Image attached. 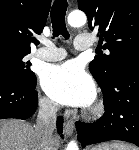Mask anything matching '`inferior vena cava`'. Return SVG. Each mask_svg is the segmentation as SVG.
<instances>
[{
  "instance_id": "602c4592",
  "label": "inferior vena cava",
  "mask_w": 139,
  "mask_h": 150,
  "mask_svg": "<svg viewBox=\"0 0 139 150\" xmlns=\"http://www.w3.org/2000/svg\"><path fill=\"white\" fill-rule=\"evenodd\" d=\"M58 105L49 100H41L38 111L35 134L39 150H55L53 132L56 128Z\"/></svg>"
}]
</instances>
